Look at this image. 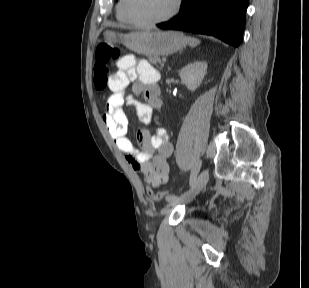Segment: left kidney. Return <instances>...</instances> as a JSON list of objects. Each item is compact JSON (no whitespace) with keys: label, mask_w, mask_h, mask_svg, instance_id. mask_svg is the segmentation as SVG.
I'll use <instances>...</instances> for the list:
<instances>
[{"label":"left kidney","mask_w":309,"mask_h":288,"mask_svg":"<svg viewBox=\"0 0 309 288\" xmlns=\"http://www.w3.org/2000/svg\"><path fill=\"white\" fill-rule=\"evenodd\" d=\"M207 73V63L204 61H195L183 67L180 72V78L190 91H195L201 84Z\"/></svg>","instance_id":"obj_1"}]
</instances>
